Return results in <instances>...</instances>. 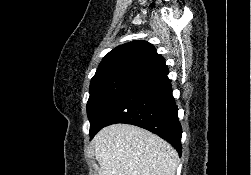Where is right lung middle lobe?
Returning <instances> with one entry per match:
<instances>
[{
    "mask_svg": "<svg viewBox=\"0 0 251 175\" xmlns=\"http://www.w3.org/2000/svg\"><path fill=\"white\" fill-rule=\"evenodd\" d=\"M139 81L131 76H116L97 80L90 84L87 115L90 121V138L95 135L99 122L109 106L133 83Z\"/></svg>",
    "mask_w": 251,
    "mask_h": 175,
    "instance_id": "1",
    "label": "right lung middle lobe"
}]
</instances>
